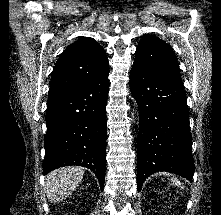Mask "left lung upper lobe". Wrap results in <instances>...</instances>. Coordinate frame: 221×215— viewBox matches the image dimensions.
<instances>
[{"mask_svg": "<svg viewBox=\"0 0 221 215\" xmlns=\"http://www.w3.org/2000/svg\"><path fill=\"white\" fill-rule=\"evenodd\" d=\"M134 63L160 75L182 81L173 49L156 36L146 35L141 39Z\"/></svg>", "mask_w": 221, "mask_h": 215, "instance_id": "obj_1", "label": "left lung upper lobe"}]
</instances>
